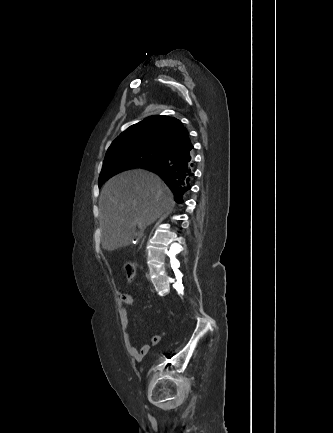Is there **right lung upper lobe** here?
Returning a JSON list of instances; mask_svg holds the SVG:
<instances>
[{
  "instance_id": "obj_1",
  "label": "right lung upper lobe",
  "mask_w": 333,
  "mask_h": 433,
  "mask_svg": "<svg viewBox=\"0 0 333 433\" xmlns=\"http://www.w3.org/2000/svg\"><path fill=\"white\" fill-rule=\"evenodd\" d=\"M190 144L188 131L180 120L169 116L154 115L130 126L121 133L112 142L106 154L116 149L133 147L157 148L169 154Z\"/></svg>"
}]
</instances>
